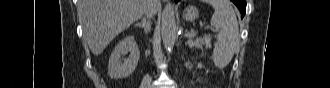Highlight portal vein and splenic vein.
<instances>
[{
    "mask_svg": "<svg viewBox=\"0 0 330 88\" xmlns=\"http://www.w3.org/2000/svg\"><path fill=\"white\" fill-rule=\"evenodd\" d=\"M214 31H217V30H214ZM193 35H194V32H191V33L186 34L185 37L191 38Z\"/></svg>",
    "mask_w": 330,
    "mask_h": 88,
    "instance_id": "18ae733b",
    "label": "portal vein and splenic vein"
}]
</instances>
